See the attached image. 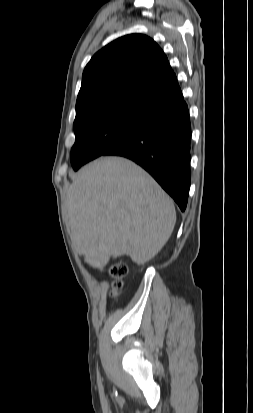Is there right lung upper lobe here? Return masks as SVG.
Wrapping results in <instances>:
<instances>
[{"label":"right lung upper lobe","instance_id":"obj_1","mask_svg":"<svg viewBox=\"0 0 253 413\" xmlns=\"http://www.w3.org/2000/svg\"><path fill=\"white\" fill-rule=\"evenodd\" d=\"M183 101L176 75L161 48L148 36L130 34L106 45L86 65L76 118L112 107L153 114Z\"/></svg>","mask_w":253,"mask_h":413}]
</instances>
